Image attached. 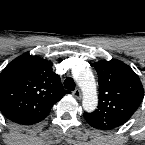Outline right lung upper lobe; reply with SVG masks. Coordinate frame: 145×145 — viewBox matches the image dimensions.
Wrapping results in <instances>:
<instances>
[{"instance_id": "right-lung-upper-lobe-1", "label": "right lung upper lobe", "mask_w": 145, "mask_h": 145, "mask_svg": "<svg viewBox=\"0 0 145 145\" xmlns=\"http://www.w3.org/2000/svg\"><path fill=\"white\" fill-rule=\"evenodd\" d=\"M52 62L23 54L0 74V110L11 121L33 125L43 120L65 94Z\"/></svg>"}]
</instances>
